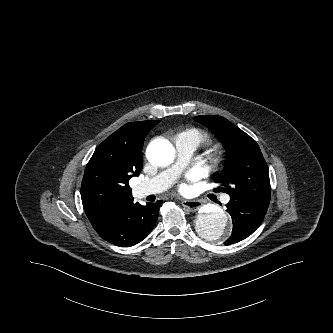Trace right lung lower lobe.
Listing matches in <instances>:
<instances>
[{"instance_id":"1","label":"right lung lower lobe","mask_w":333,"mask_h":333,"mask_svg":"<svg viewBox=\"0 0 333 333\" xmlns=\"http://www.w3.org/2000/svg\"><path fill=\"white\" fill-rule=\"evenodd\" d=\"M162 201L142 206L133 198L110 210L91 223L104 240L117 246L130 247L145 239L154 228Z\"/></svg>"}]
</instances>
